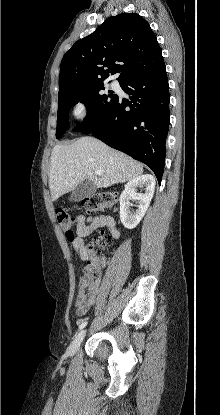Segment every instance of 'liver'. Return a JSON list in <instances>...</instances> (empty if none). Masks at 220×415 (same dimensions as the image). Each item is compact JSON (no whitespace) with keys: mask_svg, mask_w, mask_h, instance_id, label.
I'll return each instance as SVG.
<instances>
[{"mask_svg":"<svg viewBox=\"0 0 220 415\" xmlns=\"http://www.w3.org/2000/svg\"><path fill=\"white\" fill-rule=\"evenodd\" d=\"M102 175H96V171ZM143 173V165L93 137H81L68 145L53 148L49 169L51 198L74 190L85 179L97 188L132 180Z\"/></svg>","mask_w":220,"mask_h":415,"instance_id":"obj_1","label":"liver"}]
</instances>
